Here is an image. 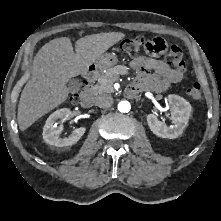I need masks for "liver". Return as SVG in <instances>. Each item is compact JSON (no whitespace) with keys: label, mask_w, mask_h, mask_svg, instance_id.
Wrapping results in <instances>:
<instances>
[{"label":"liver","mask_w":221,"mask_h":221,"mask_svg":"<svg viewBox=\"0 0 221 221\" xmlns=\"http://www.w3.org/2000/svg\"><path fill=\"white\" fill-rule=\"evenodd\" d=\"M123 37L119 32L87 35L78 39L73 51L71 40L56 38L36 54L32 76L22 90L17 120L21 131L64 103L69 95L66 84L72 77L85 74L111 46Z\"/></svg>","instance_id":"liver-1"}]
</instances>
